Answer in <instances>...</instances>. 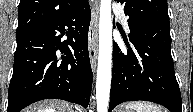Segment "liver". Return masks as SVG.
<instances>
[{
    "label": "liver",
    "mask_w": 193,
    "mask_h": 112,
    "mask_svg": "<svg viewBox=\"0 0 193 112\" xmlns=\"http://www.w3.org/2000/svg\"><path fill=\"white\" fill-rule=\"evenodd\" d=\"M70 110L71 107L64 102L46 100L24 109L23 112H70Z\"/></svg>",
    "instance_id": "obj_1"
}]
</instances>
